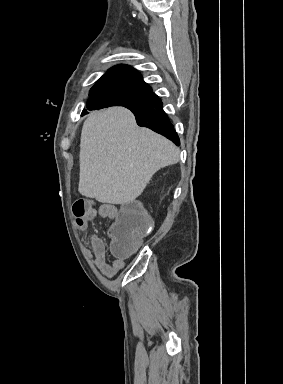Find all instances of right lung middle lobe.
Returning a JSON list of instances; mask_svg holds the SVG:
<instances>
[{
    "instance_id": "1",
    "label": "right lung middle lobe",
    "mask_w": 283,
    "mask_h": 384,
    "mask_svg": "<svg viewBox=\"0 0 283 384\" xmlns=\"http://www.w3.org/2000/svg\"><path fill=\"white\" fill-rule=\"evenodd\" d=\"M158 96L152 91L123 86H94L87 101L88 109H100L114 105L129 108L151 106Z\"/></svg>"
}]
</instances>
